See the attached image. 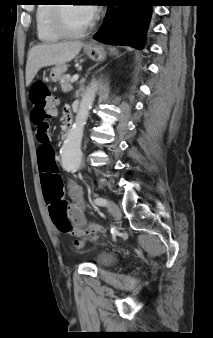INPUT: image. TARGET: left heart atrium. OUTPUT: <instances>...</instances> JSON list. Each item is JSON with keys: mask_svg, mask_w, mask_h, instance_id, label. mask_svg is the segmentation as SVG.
<instances>
[{"mask_svg": "<svg viewBox=\"0 0 213 338\" xmlns=\"http://www.w3.org/2000/svg\"><path fill=\"white\" fill-rule=\"evenodd\" d=\"M83 9H84V12H85L87 18L90 21H92L95 18V16H96L95 7H93V6H86Z\"/></svg>", "mask_w": 213, "mask_h": 338, "instance_id": "1", "label": "left heart atrium"}]
</instances>
